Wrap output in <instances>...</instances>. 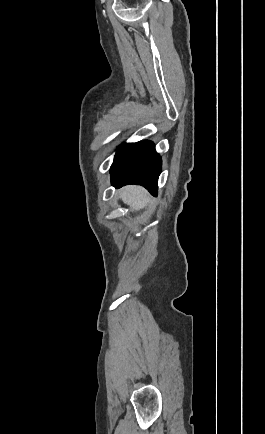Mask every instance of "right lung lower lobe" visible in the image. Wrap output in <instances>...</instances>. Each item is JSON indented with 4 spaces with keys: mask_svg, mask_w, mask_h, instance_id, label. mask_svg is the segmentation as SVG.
<instances>
[{
    "mask_svg": "<svg viewBox=\"0 0 265 434\" xmlns=\"http://www.w3.org/2000/svg\"><path fill=\"white\" fill-rule=\"evenodd\" d=\"M161 159L154 144L143 141L127 144L119 149L111 167V183L119 188L126 184H140L156 196Z\"/></svg>",
    "mask_w": 265,
    "mask_h": 434,
    "instance_id": "1",
    "label": "right lung lower lobe"
}]
</instances>
